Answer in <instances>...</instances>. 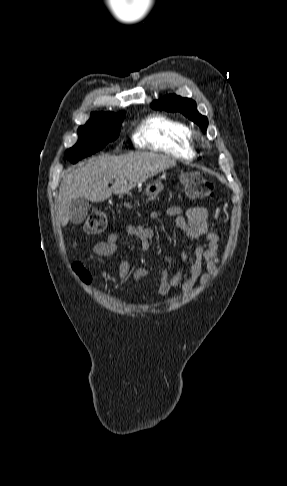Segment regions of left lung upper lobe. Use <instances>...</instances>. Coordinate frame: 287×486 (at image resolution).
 Masks as SVG:
<instances>
[{"instance_id":"1","label":"left lung upper lobe","mask_w":287,"mask_h":486,"mask_svg":"<svg viewBox=\"0 0 287 486\" xmlns=\"http://www.w3.org/2000/svg\"><path fill=\"white\" fill-rule=\"evenodd\" d=\"M151 107L156 110H166L170 112L179 111L190 120L197 123L203 132L207 129V118L198 113L195 101L190 98H182L174 94L167 95L159 100L153 101Z\"/></svg>"}]
</instances>
